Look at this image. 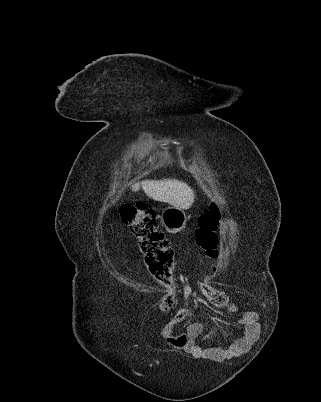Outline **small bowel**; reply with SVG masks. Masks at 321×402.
<instances>
[{"mask_svg":"<svg viewBox=\"0 0 321 402\" xmlns=\"http://www.w3.org/2000/svg\"><path fill=\"white\" fill-rule=\"evenodd\" d=\"M229 313L234 315L236 310L229 305ZM191 315V309L185 308L179 311L165 326L164 335L168 341L176 348L185 349L186 358H244L246 353L251 352L255 339H258L261 327L260 320L256 319V312L250 308L245 310V314L240 316L237 327L245 329L244 338H235L234 344H211L203 347L200 342L206 341L209 335L204 333V326L198 322L189 323L186 330L177 333L176 329L185 323Z\"/></svg>","mask_w":321,"mask_h":402,"instance_id":"small-bowel-1","label":"small bowel"}]
</instances>
